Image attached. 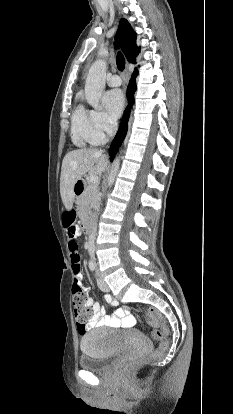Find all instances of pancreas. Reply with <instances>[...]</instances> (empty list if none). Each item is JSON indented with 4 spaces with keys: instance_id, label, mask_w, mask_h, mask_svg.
Returning a JSON list of instances; mask_svg holds the SVG:
<instances>
[{
    "instance_id": "pancreas-1",
    "label": "pancreas",
    "mask_w": 233,
    "mask_h": 414,
    "mask_svg": "<svg viewBox=\"0 0 233 414\" xmlns=\"http://www.w3.org/2000/svg\"><path fill=\"white\" fill-rule=\"evenodd\" d=\"M97 185L90 183L85 184V190L82 196L78 199V213L81 219L88 217L91 210L98 205Z\"/></svg>"
}]
</instances>
